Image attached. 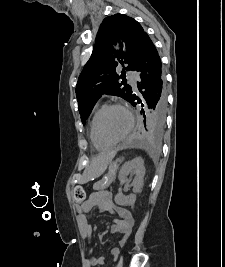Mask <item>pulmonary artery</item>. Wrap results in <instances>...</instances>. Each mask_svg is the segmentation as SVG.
I'll list each match as a JSON object with an SVG mask.
<instances>
[{"label":"pulmonary artery","mask_w":225,"mask_h":267,"mask_svg":"<svg viewBox=\"0 0 225 267\" xmlns=\"http://www.w3.org/2000/svg\"><path fill=\"white\" fill-rule=\"evenodd\" d=\"M127 77H128V79H129V81H130L132 87H133L134 89H137V84H136V81H137V73L134 72V71H132V70H129V71L127 72Z\"/></svg>","instance_id":"obj_1"}]
</instances>
